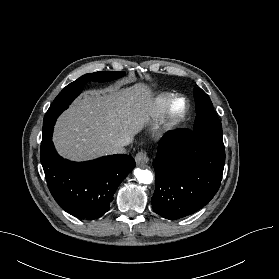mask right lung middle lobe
I'll return each instance as SVG.
<instances>
[{
	"label": "right lung middle lobe",
	"mask_w": 279,
	"mask_h": 279,
	"mask_svg": "<svg viewBox=\"0 0 279 279\" xmlns=\"http://www.w3.org/2000/svg\"><path fill=\"white\" fill-rule=\"evenodd\" d=\"M125 75V72L101 71L85 74L76 81L67 85L55 98L46 112L43 120L41 152H43L52 142L53 126L57 117L63 110L67 109L69 104L80 94L84 84L88 81L106 82Z\"/></svg>",
	"instance_id": "1"
}]
</instances>
